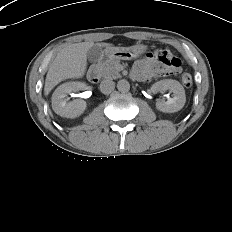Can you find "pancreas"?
<instances>
[{"mask_svg":"<svg viewBox=\"0 0 232 232\" xmlns=\"http://www.w3.org/2000/svg\"><path fill=\"white\" fill-rule=\"evenodd\" d=\"M120 61L114 60L105 64L99 65L101 75L106 79H116L120 77L119 74Z\"/></svg>","mask_w":232,"mask_h":232,"instance_id":"cf45deb5","label":"pancreas"}]
</instances>
